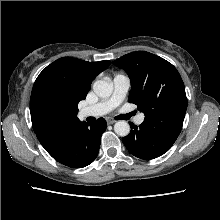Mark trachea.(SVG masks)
Listing matches in <instances>:
<instances>
[{"mask_svg": "<svg viewBox=\"0 0 220 220\" xmlns=\"http://www.w3.org/2000/svg\"><path fill=\"white\" fill-rule=\"evenodd\" d=\"M135 114H136V112L133 111V112H131V113H129V114L118 116V117H116L115 119H116V120H120V119L126 120V119H129L131 116H133V115H135Z\"/></svg>", "mask_w": 220, "mask_h": 220, "instance_id": "obj_1", "label": "trachea"}]
</instances>
